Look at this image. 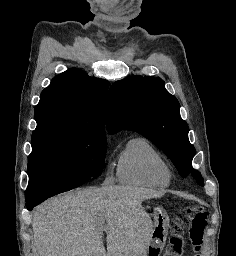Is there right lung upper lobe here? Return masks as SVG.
I'll return each mask as SVG.
<instances>
[{
	"label": "right lung upper lobe",
	"instance_id": "cb5924a9",
	"mask_svg": "<svg viewBox=\"0 0 236 256\" xmlns=\"http://www.w3.org/2000/svg\"><path fill=\"white\" fill-rule=\"evenodd\" d=\"M108 86L107 80L89 77L79 69L57 75L35 106L37 126L66 125L105 134L103 107Z\"/></svg>",
	"mask_w": 236,
	"mask_h": 256
}]
</instances>
